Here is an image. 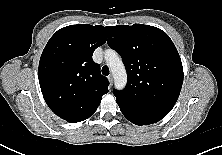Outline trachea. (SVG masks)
I'll use <instances>...</instances> for the list:
<instances>
[{
	"instance_id": "trachea-1",
	"label": "trachea",
	"mask_w": 222,
	"mask_h": 155,
	"mask_svg": "<svg viewBox=\"0 0 222 155\" xmlns=\"http://www.w3.org/2000/svg\"><path fill=\"white\" fill-rule=\"evenodd\" d=\"M102 74L105 76L109 75V68L107 66L102 67Z\"/></svg>"
}]
</instances>
